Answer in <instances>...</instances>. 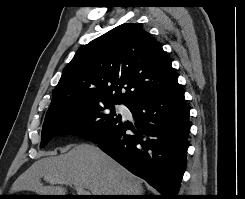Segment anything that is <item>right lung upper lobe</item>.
Masks as SVG:
<instances>
[{
  "mask_svg": "<svg viewBox=\"0 0 245 199\" xmlns=\"http://www.w3.org/2000/svg\"><path fill=\"white\" fill-rule=\"evenodd\" d=\"M176 82L161 44L140 25L122 24L77 51L63 70L46 116L79 104L127 105Z\"/></svg>",
  "mask_w": 245,
  "mask_h": 199,
  "instance_id": "obj_1",
  "label": "right lung upper lobe"
}]
</instances>
